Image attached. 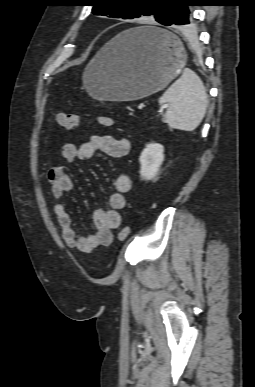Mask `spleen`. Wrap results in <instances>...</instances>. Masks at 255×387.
<instances>
[{"instance_id": "1", "label": "spleen", "mask_w": 255, "mask_h": 387, "mask_svg": "<svg viewBox=\"0 0 255 387\" xmlns=\"http://www.w3.org/2000/svg\"><path fill=\"white\" fill-rule=\"evenodd\" d=\"M168 103L164 119L172 129L193 131L205 116L208 96L203 82L190 69H185L159 98V104Z\"/></svg>"}]
</instances>
